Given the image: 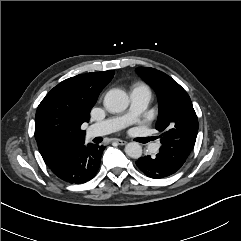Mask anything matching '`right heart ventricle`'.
<instances>
[{
	"label": "right heart ventricle",
	"instance_id": "e07e8e85",
	"mask_svg": "<svg viewBox=\"0 0 241 241\" xmlns=\"http://www.w3.org/2000/svg\"><path fill=\"white\" fill-rule=\"evenodd\" d=\"M136 86H145V85H143V84H138V85H136Z\"/></svg>",
	"mask_w": 241,
	"mask_h": 241
}]
</instances>
